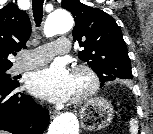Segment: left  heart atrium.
Wrapping results in <instances>:
<instances>
[{
  "instance_id": "1",
  "label": "left heart atrium",
  "mask_w": 153,
  "mask_h": 134,
  "mask_svg": "<svg viewBox=\"0 0 153 134\" xmlns=\"http://www.w3.org/2000/svg\"><path fill=\"white\" fill-rule=\"evenodd\" d=\"M27 87L38 97L62 103L72 97L73 77L62 63H54L30 73Z\"/></svg>"
}]
</instances>
